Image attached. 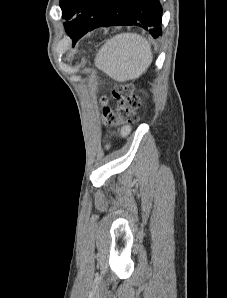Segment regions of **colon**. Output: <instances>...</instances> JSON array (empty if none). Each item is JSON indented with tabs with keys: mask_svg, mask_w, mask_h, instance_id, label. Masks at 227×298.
Masks as SVG:
<instances>
[{
	"mask_svg": "<svg viewBox=\"0 0 227 298\" xmlns=\"http://www.w3.org/2000/svg\"><path fill=\"white\" fill-rule=\"evenodd\" d=\"M112 96L116 100V109L113 110L106 105L102 98V119L108 125L133 124L138 122L140 99L134 93L133 87L128 84H121L114 87Z\"/></svg>",
	"mask_w": 227,
	"mask_h": 298,
	"instance_id": "obj_1",
	"label": "colon"
}]
</instances>
